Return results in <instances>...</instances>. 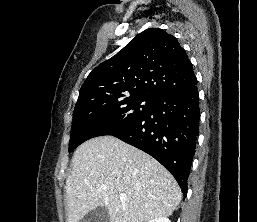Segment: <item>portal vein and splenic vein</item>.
<instances>
[{
  "mask_svg": "<svg viewBox=\"0 0 257 222\" xmlns=\"http://www.w3.org/2000/svg\"><path fill=\"white\" fill-rule=\"evenodd\" d=\"M126 199H127V195L124 194V193H121V194H120V200H121V201H125Z\"/></svg>",
  "mask_w": 257,
  "mask_h": 222,
  "instance_id": "obj_1",
  "label": "portal vein and splenic vein"
}]
</instances>
